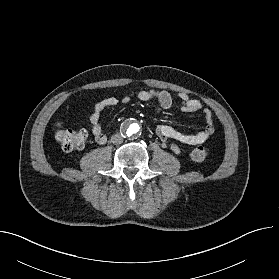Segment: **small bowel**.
I'll list each match as a JSON object with an SVG mask.
<instances>
[{"instance_id": "obj_1", "label": "small bowel", "mask_w": 279, "mask_h": 279, "mask_svg": "<svg viewBox=\"0 0 279 279\" xmlns=\"http://www.w3.org/2000/svg\"><path fill=\"white\" fill-rule=\"evenodd\" d=\"M136 98L140 101L146 102L156 100L163 109L171 108L173 104V96L165 90H142L136 94ZM177 98L180 103L182 112H199L203 115L205 127L202 131L195 134L183 133L170 125L157 126L156 132L162 139L164 144L167 140L172 139L174 143L170 144V148L175 152H180V147L183 145L195 146L206 142L214 132L213 117L211 111L206 108L202 102L196 98H192L185 93H178ZM131 101V96L125 95L122 98L107 97L94 106V110L89 118V124L94 139L99 144H104L107 140L106 134L102 131L100 125L101 113L106 108L116 107L119 105L127 104Z\"/></svg>"}]
</instances>
